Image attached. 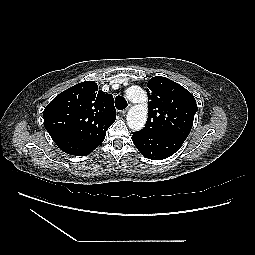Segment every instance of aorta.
Wrapping results in <instances>:
<instances>
[{"instance_id":"1","label":"aorta","mask_w":255,"mask_h":255,"mask_svg":"<svg viewBox=\"0 0 255 255\" xmlns=\"http://www.w3.org/2000/svg\"><path fill=\"white\" fill-rule=\"evenodd\" d=\"M125 94L129 101L136 104L127 113V125L133 131H139L144 127L147 120V94L141 87L136 85L127 88Z\"/></svg>"}]
</instances>
